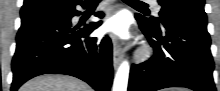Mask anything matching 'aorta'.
I'll return each mask as SVG.
<instances>
[{"mask_svg": "<svg viewBox=\"0 0 220 91\" xmlns=\"http://www.w3.org/2000/svg\"><path fill=\"white\" fill-rule=\"evenodd\" d=\"M129 69V63L127 61L122 62L114 79L113 91H127Z\"/></svg>", "mask_w": 220, "mask_h": 91, "instance_id": "1", "label": "aorta"}]
</instances>
